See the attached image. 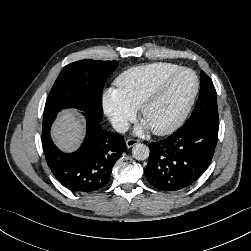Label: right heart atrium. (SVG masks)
<instances>
[{
    "label": "right heart atrium",
    "mask_w": 251,
    "mask_h": 251,
    "mask_svg": "<svg viewBox=\"0 0 251 251\" xmlns=\"http://www.w3.org/2000/svg\"><path fill=\"white\" fill-rule=\"evenodd\" d=\"M103 111L114 129L124 131L136 115V109L131 107L116 89H108L102 96Z\"/></svg>",
    "instance_id": "d8ad5b80"
}]
</instances>
